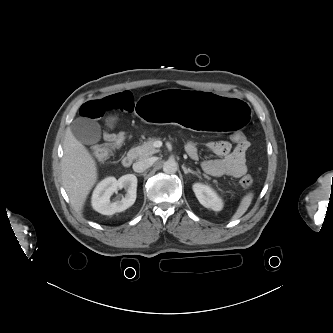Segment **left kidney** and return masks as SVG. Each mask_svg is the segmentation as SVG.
<instances>
[{
  "label": "left kidney",
  "instance_id": "5707ae66",
  "mask_svg": "<svg viewBox=\"0 0 333 333\" xmlns=\"http://www.w3.org/2000/svg\"><path fill=\"white\" fill-rule=\"evenodd\" d=\"M193 191L204 207L211 208L214 211H220L222 209V200L209 186L196 183L193 185Z\"/></svg>",
  "mask_w": 333,
  "mask_h": 333
}]
</instances>
